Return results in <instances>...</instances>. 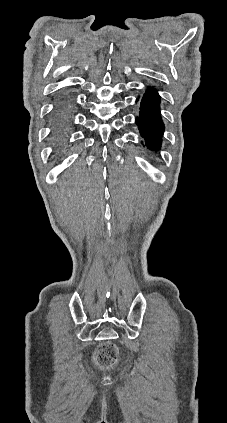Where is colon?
<instances>
[{"mask_svg": "<svg viewBox=\"0 0 227 423\" xmlns=\"http://www.w3.org/2000/svg\"><path fill=\"white\" fill-rule=\"evenodd\" d=\"M117 358L116 347L108 342L101 344L95 354L96 362L104 367H112L116 363Z\"/></svg>", "mask_w": 227, "mask_h": 423, "instance_id": "5ec220e1", "label": "colon"}]
</instances>
